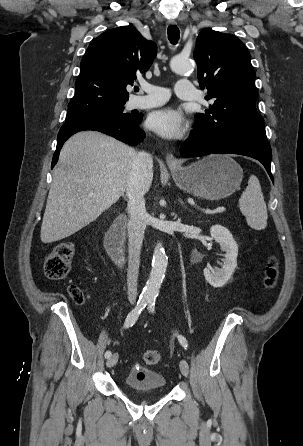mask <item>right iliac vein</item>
I'll return each mask as SVG.
<instances>
[{
    "instance_id": "right-iliac-vein-1",
    "label": "right iliac vein",
    "mask_w": 303,
    "mask_h": 446,
    "mask_svg": "<svg viewBox=\"0 0 303 446\" xmlns=\"http://www.w3.org/2000/svg\"><path fill=\"white\" fill-rule=\"evenodd\" d=\"M117 361H118V354L115 353V354H113L112 356H110L108 358V360L106 362V365H107L108 368H111L114 365H116Z\"/></svg>"
}]
</instances>
